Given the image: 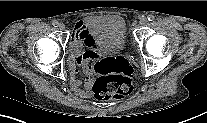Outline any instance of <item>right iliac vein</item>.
Segmentation results:
<instances>
[{
	"instance_id": "63e3f726",
	"label": "right iliac vein",
	"mask_w": 207,
	"mask_h": 123,
	"mask_svg": "<svg viewBox=\"0 0 207 123\" xmlns=\"http://www.w3.org/2000/svg\"><path fill=\"white\" fill-rule=\"evenodd\" d=\"M58 27L60 30H65V25L63 23H60Z\"/></svg>"
}]
</instances>
